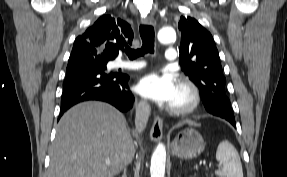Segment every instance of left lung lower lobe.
Returning a JSON list of instances; mask_svg holds the SVG:
<instances>
[{"label": "left lung lower lobe", "instance_id": "1", "mask_svg": "<svg viewBox=\"0 0 287 177\" xmlns=\"http://www.w3.org/2000/svg\"><path fill=\"white\" fill-rule=\"evenodd\" d=\"M227 101V98L217 95L215 98H213L211 105L207 107L206 110L213 115L228 120L234 127H236L234 115L228 113L226 110L225 104Z\"/></svg>", "mask_w": 287, "mask_h": 177}]
</instances>
